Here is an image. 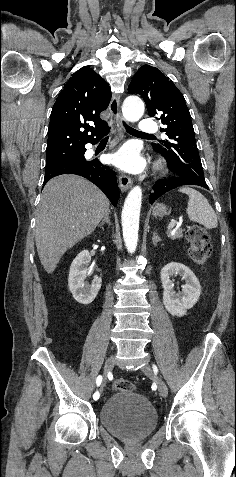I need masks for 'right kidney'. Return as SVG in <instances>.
I'll return each instance as SVG.
<instances>
[{"label": "right kidney", "instance_id": "right-kidney-1", "mask_svg": "<svg viewBox=\"0 0 236 477\" xmlns=\"http://www.w3.org/2000/svg\"><path fill=\"white\" fill-rule=\"evenodd\" d=\"M91 255L87 250L80 252L70 266L68 286L73 298L80 304L88 305L97 296L102 279L93 278L91 284L86 279L91 275L93 268L90 266Z\"/></svg>", "mask_w": 236, "mask_h": 477}]
</instances>
